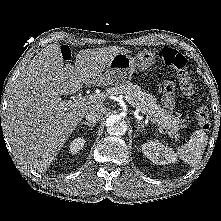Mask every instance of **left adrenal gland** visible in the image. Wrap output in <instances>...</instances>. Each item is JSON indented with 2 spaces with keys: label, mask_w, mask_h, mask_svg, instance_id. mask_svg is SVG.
I'll return each instance as SVG.
<instances>
[{
  "label": "left adrenal gland",
  "mask_w": 221,
  "mask_h": 221,
  "mask_svg": "<svg viewBox=\"0 0 221 221\" xmlns=\"http://www.w3.org/2000/svg\"><path fill=\"white\" fill-rule=\"evenodd\" d=\"M137 121V131H140L141 129L144 128V124L141 120H136Z\"/></svg>",
  "instance_id": "1"
}]
</instances>
